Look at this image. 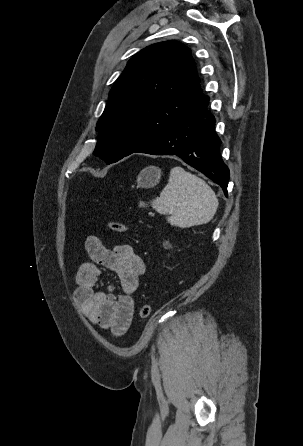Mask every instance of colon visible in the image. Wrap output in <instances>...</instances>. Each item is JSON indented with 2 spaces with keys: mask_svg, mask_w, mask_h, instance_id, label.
Here are the masks:
<instances>
[{
  "mask_svg": "<svg viewBox=\"0 0 303 446\" xmlns=\"http://www.w3.org/2000/svg\"><path fill=\"white\" fill-rule=\"evenodd\" d=\"M108 227L110 230L117 233L127 232V226L124 223L111 220L108 222ZM151 313V306L149 304H144L140 309V316L142 318H147Z\"/></svg>",
  "mask_w": 303,
  "mask_h": 446,
  "instance_id": "1",
  "label": "colon"
}]
</instances>
